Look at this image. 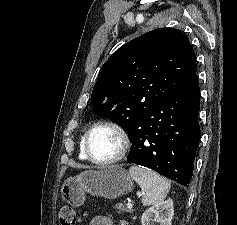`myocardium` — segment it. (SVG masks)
<instances>
[{"label": "myocardium", "instance_id": "obj_1", "mask_svg": "<svg viewBox=\"0 0 237 225\" xmlns=\"http://www.w3.org/2000/svg\"><path fill=\"white\" fill-rule=\"evenodd\" d=\"M100 128H106L112 130L119 139V149L117 153L112 157L104 160L97 159L94 156H92L89 148L91 135L95 130ZM83 149L87 159H89L91 162L98 165H111L119 162L127 155L130 149V139L127 132L117 123H114L112 121H100L92 125L86 132L84 136Z\"/></svg>", "mask_w": 237, "mask_h": 225}]
</instances>
